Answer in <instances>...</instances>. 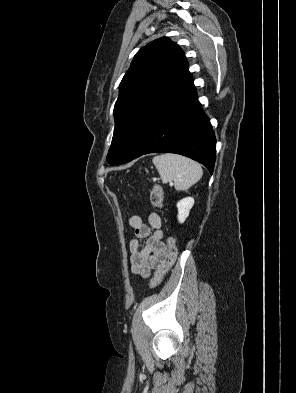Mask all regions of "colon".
Masks as SVG:
<instances>
[{"instance_id":"5ec220e1","label":"colon","mask_w":296,"mask_h":393,"mask_svg":"<svg viewBox=\"0 0 296 393\" xmlns=\"http://www.w3.org/2000/svg\"><path fill=\"white\" fill-rule=\"evenodd\" d=\"M164 193L163 189L159 184H154L151 194L150 201L151 204L156 208H161L163 206ZM177 255V247L173 237H168L166 246V256L164 260L157 267L155 274L150 282V287L152 289L156 288L163 280L166 273L170 270L175 262Z\"/></svg>"}]
</instances>
